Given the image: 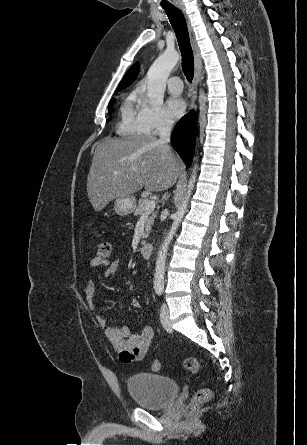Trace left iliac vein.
Returning a JSON list of instances; mask_svg holds the SVG:
<instances>
[{
  "label": "left iliac vein",
  "instance_id": "4c4485c4",
  "mask_svg": "<svg viewBox=\"0 0 307 445\" xmlns=\"http://www.w3.org/2000/svg\"><path fill=\"white\" fill-rule=\"evenodd\" d=\"M160 320L164 329L168 332L172 331L171 322L169 318V309L166 303H163L160 309Z\"/></svg>",
  "mask_w": 307,
  "mask_h": 445
}]
</instances>
